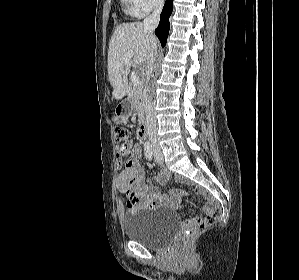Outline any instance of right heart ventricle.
I'll return each instance as SVG.
<instances>
[{
	"label": "right heart ventricle",
	"mask_w": 299,
	"mask_h": 280,
	"mask_svg": "<svg viewBox=\"0 0 299 280\" xmlns=\"http://www.w3.org/2000/svg\"><path fill=\"white\" fill-rule=\"evenodd\" d=\"M123 8L126 13L132 16H140L141 14L139 11L135 8L132 0H121Z\"/></svg>",
	"instance_id": "1"
}]
</instances>
